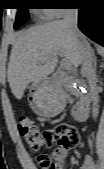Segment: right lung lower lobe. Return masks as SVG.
<instances>
[{
    "mask_svg": "<svg viewBox=\"0 0 104 169\" xmlns=\"http://www.w3.org/2000/svg\"><path fill=\"white\" fill-rule=\"evenodd\" d=\"M78 27L90 39L104 46L103 0H77Z\"/></svg>",
    "mask_w": 104,
    "mask_h": 169,
    "instance_id": "98d812e1",
    "label": "right lung lower lobe"
}]
</instances>
